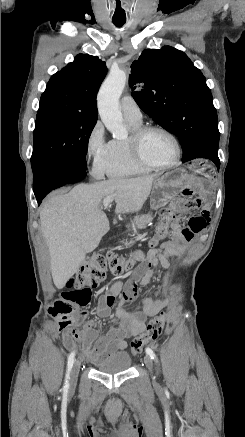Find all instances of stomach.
<instances>
[{
    "label": "stomach",
    "mask_w": 245,
    "mask_h": 437,
    "mask_svg": "<svg viewBox=\"0 0 245 437\" xmlns=\"http://www.w3.org/2000/svg\"><path fill=\"white\" fill-rule=\"evenodd\" d=\"M188 182L189 176L181 170L156 176L150 195L151 208L157 210L163 207L174 192L184 188Z\"/></svg>",
    "instance_id": "stomach-1"
}]
</instances>
